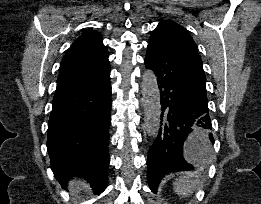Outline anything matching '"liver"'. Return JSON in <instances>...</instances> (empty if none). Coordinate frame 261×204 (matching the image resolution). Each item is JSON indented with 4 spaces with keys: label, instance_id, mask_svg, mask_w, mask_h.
Here are the masks:
<instances>
[{
    "label": "liver",
    "instance_id": "liver-1",
    "mask_svg": "<svg viewBox=\"0 0 261 204\" xmlns=\"http://www.w3.org/2000/svg\"><path fill=\"white\" fill-rule=\"evenodd\" d=\"M85 185H86V182H84V181H80V182H79V186H80V187H84Z\"/></svg>",
    "mask_w": 261,
    "mask_h": 204
}]
</instances>
